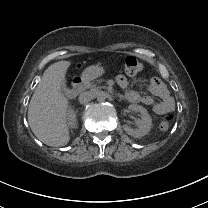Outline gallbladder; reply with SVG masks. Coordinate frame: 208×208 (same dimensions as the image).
Instances as JSON below:
<instances>
[{
    "label": "gallbladder",
    "instance_id": "1",
    "mask_svg": "<svg viewBox=\"0 0 208 208\" xmlns=\"http://www.w3.org/2000/svg\"><path fill=\"white\" fill-rule=\"evenodd\" d=\"M59 95L61 97H68L70 95V88L68 86H61L59 88Z\"/></svg>",
    "mask_w": 208,
    "mask_h": 208
}]
</instances>
